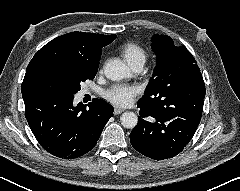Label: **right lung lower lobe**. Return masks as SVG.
Returning a JSON list of instances; mask_svg holds the SVG:
<instances>
[{
    "label": "right lung lower lobe",
    "mask_w": 240,
    "mask_h": 191,
    "mask_svg": "<svg viewBox=\"0 0 240 191\" xmlns=\"http://www.w3.org/2000/svg\"><path fill=\"white\" fill-rule=\"evenodd\" d=\"M22 97L35 138L47 152L62 159H74L92 150L113 116V107L99 99L87 108L81 103L74 107V98L54 94L27 92Z\"/></svg>",
    "instance_id": "98d812e1"
}]
</instances>
